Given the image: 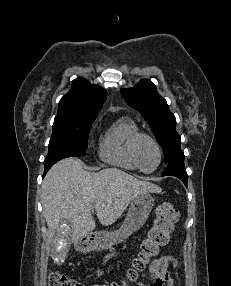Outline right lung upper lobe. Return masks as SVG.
<instances>
[{
	"label": "right lung upper lobe",
	"mask_w": 231,
	"mask_h": 286,
	"mask_svg": "<svg viewBox=\"0 0 231 286\" xmlns=\"http://www.w3.org/2000/svg\"><path fill=\"white\" fill-rule=\"evenodd\" d=\"M106 92L83 78L73 81L71 90L61 98L58 113H97L106 100Z\"/></svg>",
	"instance_id": "right-lung-upper-lobe-1"
}]
</instances>
